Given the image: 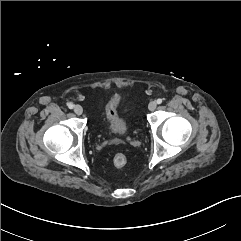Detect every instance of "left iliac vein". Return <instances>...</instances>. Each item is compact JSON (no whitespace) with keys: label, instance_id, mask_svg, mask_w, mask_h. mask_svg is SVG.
Listing matches in <instances>:
<instances>
[{"label":"left iliac vein","instance_id":"1","mask_svg":"<svg viewBox=\"0 0 241 241\" xmlns=\"http://www.w3.org/2000/svg\"><path fill=\"white\" fill-rule=\"evenodd\" d=\"M157 107V103L155 101H151L148 105L150 111H154Z\"/></svg>","mask_w":241,"mask_h":241}]
</instances>
